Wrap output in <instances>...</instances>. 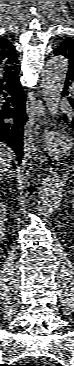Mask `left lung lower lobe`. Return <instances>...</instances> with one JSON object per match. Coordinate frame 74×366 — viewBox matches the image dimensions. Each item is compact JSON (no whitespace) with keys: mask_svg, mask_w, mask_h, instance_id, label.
I'll list each match as a JSON object with an SVG mask.
<instances>
[{"mask_svg":"<svg viewBox=\"0 0 74 366\" xmlns=\"http://www.w3.org/2000/svg\"><path fill=\"white\" fill-rule=\"evenodd\" d=\"M69 86H71V92L66 91L65 95L68 96L69 94L71 95V97L69 96L68 99L70 101L71 106L74 108V74L73 73H67V77H66V85L64 90H67L69 88ZM63 95V96H65ZM67 119V117L65 116V120ZM70 127L74 130V117L72 118V121L70 123Z\"/></svg>","mask_w":74,"mask_h":366,"instance_id":"0a47b994","label":"left lung lower lobe"}]
</instances>
